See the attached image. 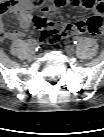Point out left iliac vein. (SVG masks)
<instances>
[{
    "label": "left iliac vein",
    "mask_w": 104,
    "mask_h": 137,
    "mask_svg": "<svg viewBox=\"0 0 104 137\" xmlns=\"http://www.w3.org/2000/svg\"><path fill=\"white\" fill-rule=\"evenodd\" d=\"M65 51L69 54H72V53H74L75 49L73 46L67 45V46H65Z\"/></svg>",
    "instance_id": "1"
}]
</instances>
